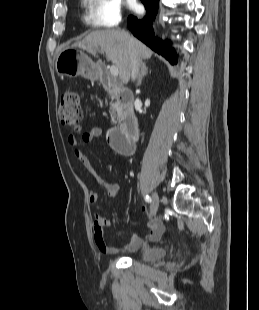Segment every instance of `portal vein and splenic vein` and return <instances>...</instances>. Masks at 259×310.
Returning a JSON list of instances; mask_svg holds the SVG:
<instances>
[{"label":"portal vein and splenic vein","mask_w":259,"mask_h":310,"mask_svg":"<svg viewBox=\"0 0 259 310\" xmlns=\"http://www.w3.org/2000/svg\"><path fill=\"white\" fill-rule=\"evenodd\" d=\"M110 74L114 77H117L119 74L118 67L116 65H111L110 67Z\"/></svg>","instance_id":"1"}]
</instances>
